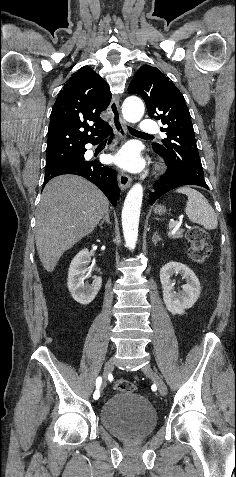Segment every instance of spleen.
Masks as SVG:
<instances>
[{"instance_id": "obj_1", "label": "spleen", "mask_w": 236, "mask_h": 477, "mask_svg": "<svg viewBox=\"0 0 236 477\" xmlns=\"http://www.w3.org/2000/svg\"><path fill=\"white\" fill-rule=\"evenodd\" d=\"M176 192L188 196L185 213L190 221L200 224L208 230L217 228V215L207 199L200 192L190 187H181L177 189Z\"/></svg>"}]
</instances>
